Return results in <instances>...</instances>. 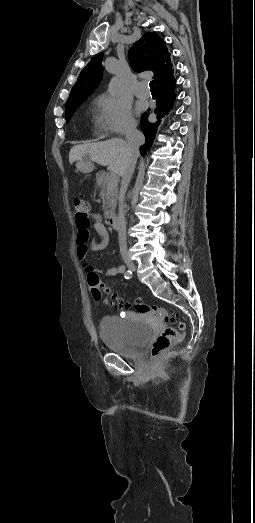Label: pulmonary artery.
Here are the masks:
<instances>
[{"label": "pulmonary artery", "instance_id": "1", "mask_svg": "<svg viewBox=\"0 0 255 523\" xmlns=\"http://www.w3.org/2000/svg\"><path fill=\"white\" fill-rule=\"evenodd\" d=\"M134 94L140 98H148L151 96L149 84L146 81H141L138 83L137 87L134 90Z\"/></svg>", "mask_w": 255, "mask_h": 523}]
</instances>
